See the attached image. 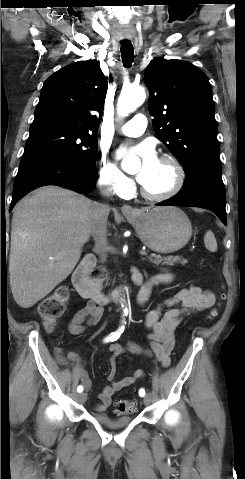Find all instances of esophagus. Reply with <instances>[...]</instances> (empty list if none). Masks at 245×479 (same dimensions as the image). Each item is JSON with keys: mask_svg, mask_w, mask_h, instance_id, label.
Returning a JSON list of instances; mask_svg holds the SVG:
<instances>
[{"mask_svg": "<svg viewBox=\"0 0 245 479\" xmlns=\"http://www.w3.org/2000/svg\"><path fill=\"white\" fill-rule=\"evenodd\" d=\"M121 211H122L123 214H133L134 213V209L128 204H124L121 207Z\"/></svg>", "mask_w": 245, "mask_h": 479, "instance_id": "1", "label": "esophagus"}]
</instances>
